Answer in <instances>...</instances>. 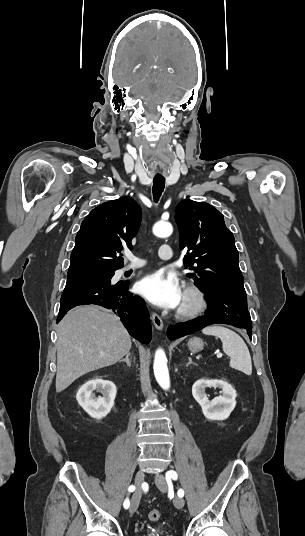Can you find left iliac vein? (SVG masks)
Instances as JSON below:
<instances>
[{
  "label": "left iliac vein",
  "instance_id": "4c4485c4",
  "mask_svg": "<svg viewBox=\"0 0 305 536\" xmlns=\"http://www.w3.org/2000/svg\"><path fill=\"white\" fill-rule=\"evenodd\" d=\"M156 486L161 492H165L167 489V483L165 476L163 474H157L155 477ZM184 499L182 497H175L174 499V505L177 508H183L184 507Z\"/></svg>",
  "mask_w": 305,
  "mask_h": 536
}]
</instances>
